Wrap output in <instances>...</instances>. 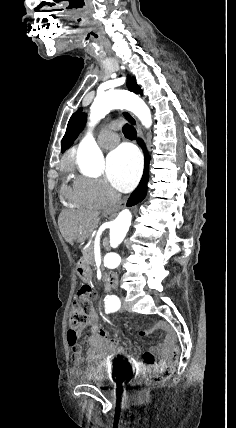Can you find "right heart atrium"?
<instances>
[{
	"label": "right heart atrium",
	"instance_id": "d8ad5b80",
	"mask_svg": "<svg viewBox=\"0 0 236 428\" xmlns=\"http://www.w3.org/2000/svg\"><path fill=\"white\" fill-rule=\"evenodd\" d=\"M75 188L82 199L96 206H105L118 199V194L99 179L80 177L75 182Z\"/></svg>",
	"mask_w": 236,
	"mask_h": 428
}]
</instances>
